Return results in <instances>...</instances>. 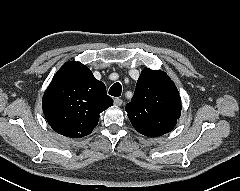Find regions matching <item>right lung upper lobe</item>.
I'll use <instances>...</instances> for the list:
<instances>
[{"instance_id":"1","label":"right lung upper lobe","mask_w":240,"mask_h":191,"mask_svg":"<svg viewBox=\"0 0 240 191\" xmlns=\"http://www.w3.org/2000/svg\"><path fill=\"white\" fill-rule=\"evenodd\" d=\"M113 105L103 82L85 65L66 62L55 74L42 100L48 124L69 138L84 137L92 132L99 114Z\"/></svg>"}]
</instances>
